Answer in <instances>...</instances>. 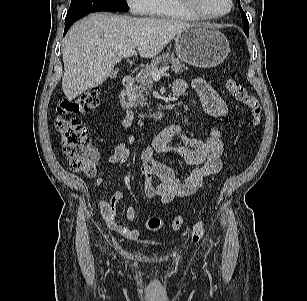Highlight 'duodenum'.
I'll return each mask as SVG.
<instances>
[{
    "label": "duodenum",
    "mask_w": 307,
    "mask_h": 301,
    "mask_svg": "<svg viewBox=\"0 0 307 301\" xmlns=\"http://www.w3.org/2000/svg\"><path fill=\"white\" fill-rule=\"evenodd\" d=\"M134 77L133 76H125L123 79L122 90L120 93V102L122 107L128 111L132 112L134 110L133 100H132V92L134 88ZM174 95H179L181 92L178 90L173 91ZM167 112L165 110L154 111L150 114H147L150 120L159 121L165 118Z\"/></svg>",
    "instance_id": "obj_1"
}]
</instances>
